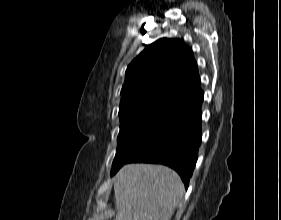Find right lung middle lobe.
Wrapping results in <instances>:
<instances>
[{
    "label": "right lung middle lobe",
    "instance_id": "dd1d6c3e",
    "mask_svg": "<svg viewBox=\"0 0 281 220\" xmlns=\"http://www.w3.org/2000/svg\"><path fill=\"white\" fill-rule=\"evenodd\" d=\"M169 119V117L156 115L120 119L118 146L111 174L119 170Z\"/></svg>",
    "mask_w": 281,
    "mask_h": 220
}]
</instances>
